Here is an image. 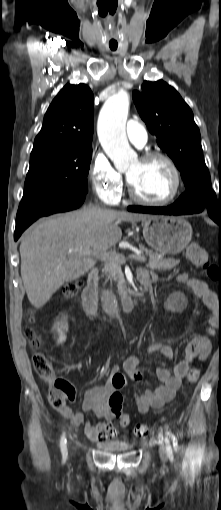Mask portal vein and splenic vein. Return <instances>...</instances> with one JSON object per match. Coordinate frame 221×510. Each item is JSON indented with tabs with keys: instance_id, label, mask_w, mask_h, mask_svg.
<instances>
[{
	"instance_id": "18ae733b",
	"label": "portal vein and splenic vein",
	"mask_w": 221,
	"mask_h": 510,
	"mask_svg": "<svg viewBox=\"0 0 221 510\" xmlns=\"http://www.w3.org/2000/svg\"><path fill=\"white\" fill-rule=\"evenodd\" d=\"M75 250L70 249L69 253L73 252ZM100 259L104 261L105 263L120 260L121 262H126L127 259H134L139 262H146V258L141 255L140 253L131 254L128 257H125L124 255L115 253V252H104L100 254Z\"/></svg>"
}]
</instances>
